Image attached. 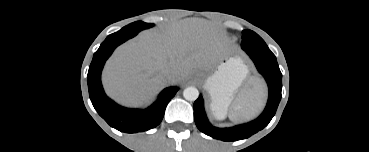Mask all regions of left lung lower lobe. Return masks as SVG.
<instances>
[{"label":"left lung lower lobe","mask_w":369,"mask_h":152,"mask_svg":"<svg viewBox=\"0 0 369 152\" xmlns=\"http://www.w3.org/2000/svg\"><path fill=\"white\" fill-rule=\"evenodd\" d=\"M259 73H261L269 87V98L263 113L254 121L238 125L233 128H218L212 126L204 110L203 98L194 102V119L198 129L208 136L222 141H237L246 139L266 127L277 110L281 100L282 74L276 61V57L249 55Z\"/></svg>","instance_id":"1"}]
</instances>
